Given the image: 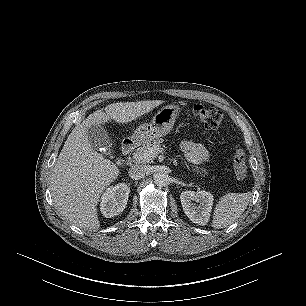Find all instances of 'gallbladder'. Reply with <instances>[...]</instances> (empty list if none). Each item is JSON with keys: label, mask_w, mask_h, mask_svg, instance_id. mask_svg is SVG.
Instances as JSON below:
<instances>
[{"label": "gallbladder", "mask_w": 306, "mask_h": 306, "mask_svg": "<svg viewBox=\"0 0 306 306\" xmlns=\"http://www.w3.org/2000/svg\"><path fill=\"white\" fill-rule=\"evenodd\" d=\"M87 137L93 149L109 151L111 141L108 132L101 125H92L87 129Z\"/></svg>", "instance_id": "obj_1"}]
</instances>
